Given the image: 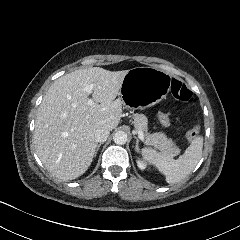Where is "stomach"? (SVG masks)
Returning <instances> with one entry per match:
<instances>
[{
  "label": "stomach",
  "instance_id": "0dacf381",
  "mask_svg": "<svg viewBox=\"0 0 240 240\" xmlns=\"http://www.w3.org/2000/svg\"><path fill=\"white\" fill-rule=\"evenodd\" d=\"M171 76L154 67H135L128 70L120 90L124 107L145 109L163 100L170 91Z\"/></svg>",
  "mask_w": 240,
  "mask_h": 240
}]
</instances>
